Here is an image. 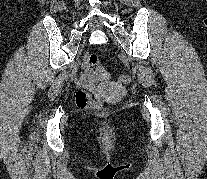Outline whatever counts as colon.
<instances>
[{
	"mask_svg": "<svg viewBox=\"0 0 207 179\" xmlns=\"http://www.w3.org/2000/svg\"><path fill=\"white\" fill-rule=\"evenodd\" d=\"M86 63L89 66L96 67V72L98 78L101 81H107L109 79V73L99 65V60L96 54L91 53L86 56ZM131 81V76L129 74H123L120 77V82L122 84H129ZM76 103L80 109L94 108L96 112L100 115L106 114L107 111L104 109L100 103L96 102L92 94L87 90H78L76 93Z\"/></svg>",
	"mask_w": 207,
	"mask_h": 179,
	"instance_id": "5ec220e1",
	"label": "colon"
}]
</instances>
